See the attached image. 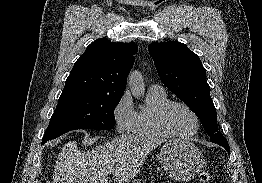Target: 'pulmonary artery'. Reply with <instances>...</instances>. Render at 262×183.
<instances>
[{"label":"pulmonary artery","instance_id":"e3ab8cb5","mask_svg":"<svg viewBox=\"0 0 262 183\" xmlns=\"http://www.w3.org/2000/svg\"><path fill=\"white\" fill-rule=\"evenodd\" d=\"M149 90H164V87L162 85L154 84L150 86Z\"/></svg>","mask_w":262,"mask_h":183}]
</instances>
